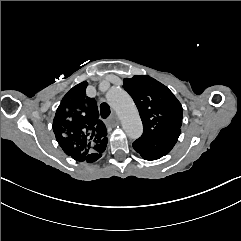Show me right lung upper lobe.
Here are the masks:
<instances>
[{"instance_id": "obj_1", "label": "right lung upper lobe", "mask_w": 241, "mask_h": 241, "mask_svg": "<svg viewBox=\"0 0 241 241\" xmlns=\"http://www.w3.org/2000/svg\"><path fill=\"white\" fill-rule=\"evenodd\" d=\"M87 85L82 82L63 97L53 120V131L67 155L79 162L92 163L102 156L108 138L96 101L86 96Z\"/></svg>"}]
</instances>
